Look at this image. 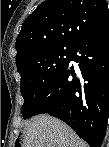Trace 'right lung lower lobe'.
<instances>
[{
    "label": "right lung lower lobe",
    "instance_id": "obj_1",
    "mask_svg": "<svg viewBox=\"0 0 109 147\" xmlns=\"http://www.w3.org/2000/svg\"><path fill=\"white\" fill-rule=\"evenodd\" d=\"M73 59L78 69L68 62L34 116L48 113L59 118L90 146H100L109 116V20L72 49Z\"/></svg>",
    "mask_w": 109,
    "mask_h": 147
}]
</instances>
